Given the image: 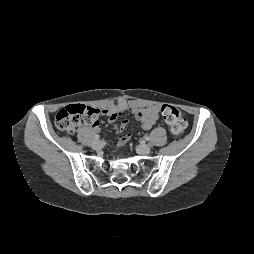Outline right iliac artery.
<instances>
[{
  "instance_id": "82829eb1",
  "label": "right iliac artery",
  "mask_w": 254,
  "mask_h": 254,
  "mask_svg": "<svg viewBox=\"0 0 254 254\" xmlns=\"http://www.w3.org/2000/svg\"><path fill=\"white\" fill-rule=\"evenodd\" d=\"M99 138H100L99 135H96V136H95V139H96V140H99Z\"/></svg>"
}]
</instances>
